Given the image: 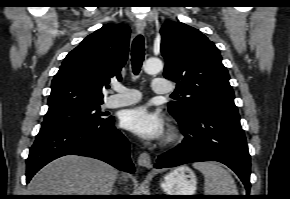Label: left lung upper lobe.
Listing matches in <instances>:
<instances>
[{"label": "left lung upper lobe", "mask_w": 290, "mask_h": 199, "mask_svg": "<svg viewBox=\"0 0 290 199\" xmlns=\"http://www.w3.org/2000/svg\"><path fill=\"white\" fill-rule=\"evenodd\" d=\"M164 77L177 83L178 101L168 103L170 114L183 119L196 109L240 118L229 74L218 48L197 29L167 21L161 31Z\"/></svg>", "instance_id": "obj_1"}]
</instances>
